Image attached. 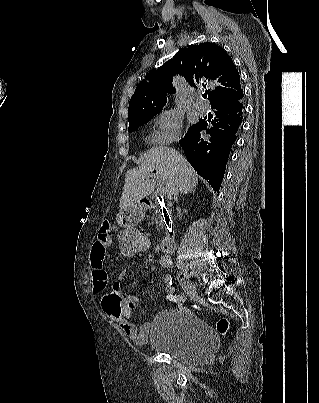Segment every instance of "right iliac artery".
<instances>
[{"label":"right iliac artery","mask_w":319,"mask_h":403,"mask_svg":"<svg viewBox=\"0 0 319 403\" xmlns=\"http://www.w3.org/2000/svg\"><path fill=\"white\" fill-rule=\"evenodd\" d=\"M165 282L172 288V290H174V286L172 283V277L171 275H166L165 277Z\"/></svg>","instance_id":"1"}]
</instances>
